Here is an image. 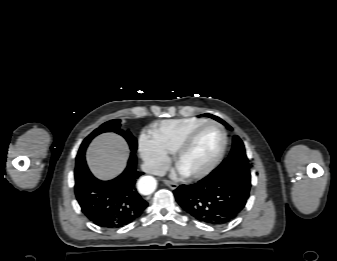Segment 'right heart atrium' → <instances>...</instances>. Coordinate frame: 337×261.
<instances>
[{"label": "right heart atrium", "instance_id": "d8ad5b80", "mask_svg": "<svg viewBox=\"0 0 337 261\" xmlns=\"http://www.w3.org/2000/svg\"><path fill=\"white\" fill-rule=\"evenodd\" d=\"M139 151L147 169L160 174L167 166L168 155L147 134H142L139 139Z\"/></svg>", "mask_w": 337, "mask_h": 261}]
</instances>
